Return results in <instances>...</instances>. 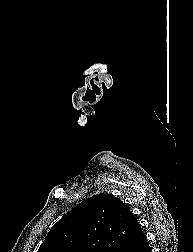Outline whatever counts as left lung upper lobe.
Instances as JSON below:
<instances>
[{"label":"left lung upper lobe","instance_id":"left-lung-upper-lobe-1","mask_svg":"<svg viewBox=\"0 0 193 252\" xmlns=\"http://www.w3.org/2000/svg\"><path fill=\"white\" fill-rule=\"evenodd\" d=\"M138 225L120 199L97 194L57 222L38 252H123Z\"/></svg>","mask_w":193,"mask_h":252}]
</instances>
